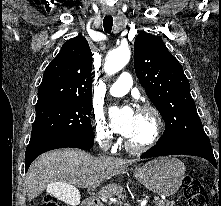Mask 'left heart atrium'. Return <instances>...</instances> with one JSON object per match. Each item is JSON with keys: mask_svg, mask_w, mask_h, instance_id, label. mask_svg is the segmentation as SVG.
Wrapping results in <instances>:
<instances>
[{"mask_svg": "<svg viewBox=\"0 0 221 206\" xmlns=\"http://www.w3.org/2000/svg\"><path fill=\"white\" fill-rule=\"evenodd\" d=\"M137 113L130 106L113 107L110 110L112 127L116 132L129 138L135 128Z\"/></svg>", "mask_w": 221, "mask_h": 206, "instance_id": "1", "label": "left heart atrium"}]
</instances>
